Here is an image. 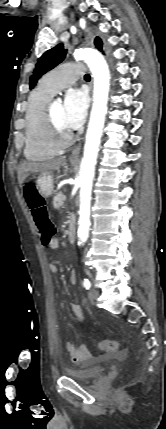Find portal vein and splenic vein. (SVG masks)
Masks as SVG:
<instances>
[{
    "instance_id": "obj_1",
    "label": "portal vein and splenic vein",
    "mask_w": 166,
    "mask_h": 429,
    "mask_svg": "<svg viewBox=\"0 0 166 429\" xmlns=\"http://www.w3.org/2000/svg\"><path fill=\"white\" fill-rule=\"evenodd\" d=\"M63 200H66V196L65 195L63 196Z\"/></svg>"
}]
</instances>
